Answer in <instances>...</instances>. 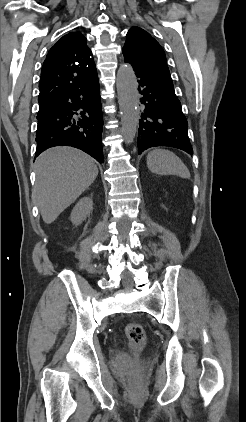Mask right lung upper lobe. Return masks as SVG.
<instances>
[{"label":"right lung upper lobe","instance_id":"right-lung-upper-lobe-1","mask_svg":"<svg viewBox=\"0 0 246 422\" xmlns=\"http://www.w3.org/2000/svg\"><path fill=\"white\" fill-rule=\"evenodd\" d=\"M97 76L92 52L80 32H70L49 50L41 69L38 103L49 101L91 82Z\"/></svg>","mask_w":246,"mask_h":422}]
</instances>
